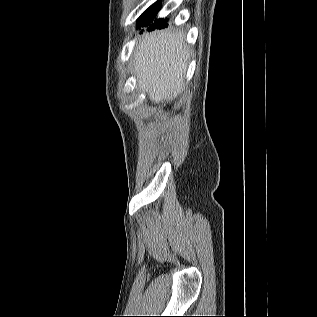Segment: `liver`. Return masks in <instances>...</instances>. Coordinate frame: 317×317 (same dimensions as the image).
<instances>
[{
	"mask_svg": "<svg viewBox=\"0 0 317 317\" xmlns=\"http://www.w3.org/2000/svg\"><path fill=\"white\" fill-rule=\"evenodd\" d=\"M189 50L184 35L177 31H161L145 35L134 51L133 73L137 85L150 100L176 98L184 87Z\"/></svg>",
	"mask_w": 317,
	"mask_h": 317,
	"instance_id": "obj_1",
	"label": "liver"
}]
</instances>
